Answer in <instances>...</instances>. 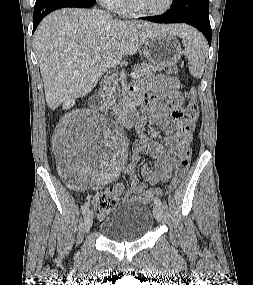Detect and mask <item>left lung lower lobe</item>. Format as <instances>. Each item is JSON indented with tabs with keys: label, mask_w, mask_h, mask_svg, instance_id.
I'll return each mask as SVG.
<instances>
[{
	"label": "left lung lower lobe",
	"mask_w": 253,
	"mask_h": 285,
	"mask_svg": "<svg viewBox=\"0 0 253 285\" xmlns=\"http://www.w3.org/2000/svg\"><path fill=\"white\" fill-rule=\"evenodd\" d=\"M141 19L157 23L190 24L202 32L208 40V44L211 45L212 31L208 0H174L169 12Z\"/></svg>",
	"instance_id": "1"
}]
</instances>
